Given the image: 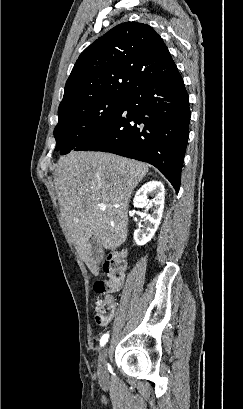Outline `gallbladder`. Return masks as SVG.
<instances>
[{"mask_svg": "<svg viewBox=\"0 0 243 409\" xmlns=\"http://www.w3.org/2000/svg\"><path fill=\"white\" fill-rule=\"evenodd\" d=\"M91 243V255L92 258L97 262H101L104 256V250L101 242L95 238L90 240Z\"/></svg>", "mask_w": 243, "mask_h": 409, "instance_id": "1", "label": "gallbladder"}]
</instances>
